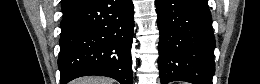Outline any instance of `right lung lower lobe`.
I'll return each mask as SVG.
<instances>
[{
    "label": "right lung lower lobe",
    "instance_id": "1",
    "mask_svg": "<svg viewBox=\"0 0 260 84\" xmlns=\"http://www.w3.org/2000/svg\"><path fill=\"white\" fill-rule=\"evenodd\" d=\"M132 0H87L61 21L60 84L101 75L133 84Z\"/></svg>",
    "mask_w": 260,
    "mask_h": 84
}]
</instances>
